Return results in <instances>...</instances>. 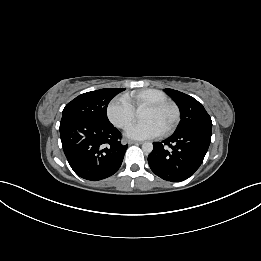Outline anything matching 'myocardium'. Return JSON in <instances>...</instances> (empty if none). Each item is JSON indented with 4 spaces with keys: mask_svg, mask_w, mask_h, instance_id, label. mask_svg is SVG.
Returning <instances> with one entry per match:
<instances>
[{
    "mask_svg": "<svg viewBox=\"0 0 261 261\" xmlns=\"http://www.w3.org/2000/svg\"><path fill=\"white\" fill-rule=\"evenodd\" d=\"M146 108L152 109L155 111L169 110L172 112V119H171L169 125L164 130V134L171 133L179 123L180 112H179L178 107L172 102L165 101V102H159V103H151V104H148L146 106Z\"/></svg>",
    "mask_w": 261,
    "mask_h": 261,
    "instance_id": "1",
    "label": "myocardium"
}]
</instances>
